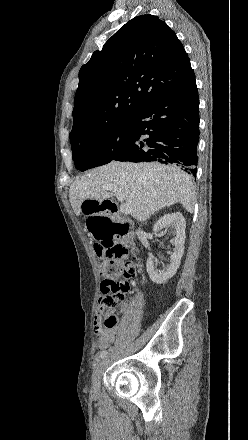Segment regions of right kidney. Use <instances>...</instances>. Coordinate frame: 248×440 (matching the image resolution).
I'll use <instances>...</instances> for the list:
<instances>
[{
  "label": "right kidney",
  "instance_id": "obj_1",
  "mask_svg": "<svg viewBox=\"0 0 248 440\" xmlns=\"http://www.w3.org/2000/svg\"><path fill=\"white\" fill-rule=\"evenodd\" d=\"M164 228H170L171 234L175 236L174 251L171 255L170 264L163 269L156 268V259L153 256L148 258L146 263L147 272L150 279L156 284H164L176 274L184 253L186 222L183 215L179 212L165 214L155 223L153 231L157 233Z\"/></svg>",
  "mask_w": 248,
  "mask_h": 440
}]
</instances>
